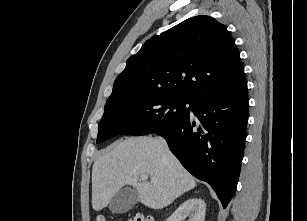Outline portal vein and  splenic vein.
Returning <instances> with one entry per match:
<instances>
[{
    "mask_svg": "<svg viewBox=\"0 0 307 221\" xmlns=\"http://www.w3.org/2000/svg\"><path fill=\"white\" fill-rule=\"evenodd\" d=\"M140 178H141L142 180H147V179H148V175H147V174H142V175L140 176ZM151 181H155V178H151Z\"/></svg>",
    "mask_w": 307,
    "mask_h": 221,
    "instance_id": "portal-vein-and-splenic-vein-1",
    "label": "portal vein and splenic vein"
}]
</instances>
